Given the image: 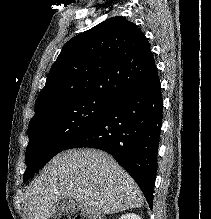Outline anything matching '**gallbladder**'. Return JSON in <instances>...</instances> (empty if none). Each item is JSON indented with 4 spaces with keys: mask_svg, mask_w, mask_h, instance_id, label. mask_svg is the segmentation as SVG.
I'll use <instances>...</instances> for the list:
<instances>
[{
    "mask_svg": "<svg viewBox=\"0 0 211 219\" xmlns=\"http://www.w3.org/2000/svg\"><path fill=\"white\" fill-rule=\"evenodd\" d=\"M78 211V205L72 198L58 201L55 205V212L52 214L54 219H58L63 213L73 214Z\"/></svg>",
    "mask_w": 211,
    "mask_h": 219,
    "instance_id": "1",
    "label": "gallbladder"
}]
</instances>
